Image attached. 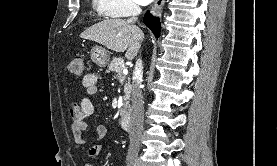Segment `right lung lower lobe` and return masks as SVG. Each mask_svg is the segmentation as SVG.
Masks as SVG:
<instances>
[{"label":"right lung lower lobe","mask_w":277,"mask_h":166,"mask_svg":"<svg viewBox=\"0 0 277 166\" xmlns=\"http://www.w3.org/2000/svg\"><path fill=\"white\" fill-rule=\"evenodd\" d=\"M145 25L152 30L156 37L160 36V21L158 18H154L149 12L144 16Z\"/></svg>","instance_id":"98d812e1"}]
</instances>
